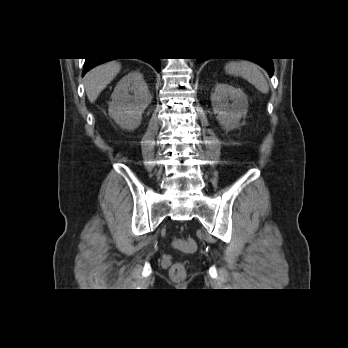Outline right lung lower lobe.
Wrapping results in <instances>:
<instances>
[{"label":"right lung lower lobe","instance_id":"obj_1","mask_svg":"<svg viewBox=\"0 0 348 348\" xmlns=\"http://www.w3.org/2000/svg\"><path fill=\"white\" fill-rule=\"evenodd\" d=\"M106 61H109V59H102V58H86L83 73L84 76L86 72H88L91 68L104 63ZM146 62L151 64L158 72H160V59L159 58H151V59H145Z\"/></svg>","mask_w":348,"mask_h":348}]
</instances>
